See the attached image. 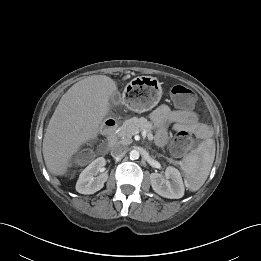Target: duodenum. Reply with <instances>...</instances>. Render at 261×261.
I'll list each match as a JSON object with an SVG mask.
<instances>
[{
	"mask_svg": "<svg viewBox=\"0 0 261 261\" xmlns=\"http://www.w3.org/2000/svg\"><path fill=\"white\" fill-rule=\"evenodd\" d=\"M117 122L113 118H108L102 125V131L108 141V149H112L116 143Z\"/></svg>",
	"mask_w": 261,
	"mask_h": 261,
	"instance_id": "410a0bca",
	"label": "duodenum"
}]
</instances>
